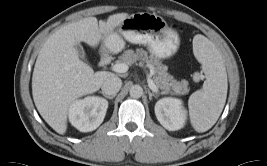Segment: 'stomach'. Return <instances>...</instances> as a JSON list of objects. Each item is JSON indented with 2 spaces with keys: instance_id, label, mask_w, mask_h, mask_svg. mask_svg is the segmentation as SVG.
<instances>
[{
  "instance_id": "obj_1",
  "label": "stomach",
  "mask_w": 267,
  "mask_h": 166,
  "mask_svg": "<svg viewBox=\"0 0 267 166\" xmlns=\"http://www.w3.org/2000/svg\"><path fill=\"white\" fill-rule=\"evenodd\" d=\"M125 40L147 46L149 52L159 59L174 55L180 44L178 34L159 15L138 12L125 18L116 32L103 38V48L112 53L120 52Z\"/></svg>"
}]
</instances>
